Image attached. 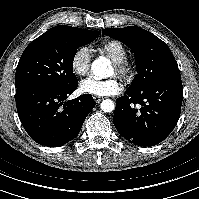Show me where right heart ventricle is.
Returning <instances> with one entry per match:
<instances>
[{
    "label": "right heart ventricle",
    "instance_id": "1",
    "mask_svg": "<svg viewBox=\"0 0 199 199\" xmlns=\"http://www.w3.org/2000/svg\"><path fill=\"white\" fill-rule=\"evenodd\" d=\"M97 50L114 64L124 61L127 57L126 47L117 40H107L99 44Z\"/></svg>",
    "mask_w": 199,
    "mask_h": 199
}]
</instances>
